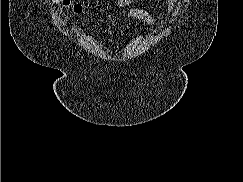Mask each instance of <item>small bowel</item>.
<instances>
[{
  "instance_id": "obj_1",
  "label": "small bowel",
  "mask_w": 243,
  "mask_h": 182,
  "mask_svg": "<svg viewBox=\"0 0 243 182\" xmlns=\"http://www.w3.org/2000/svg\"><path fill=\"white\" fill-rule=\"evenodd\" d=\"M128 18L136 19L143 21L147 24H153L154 19L153 17L145 10L142 9H131L127 13Z\"/></svg>"
}]
</instances>
